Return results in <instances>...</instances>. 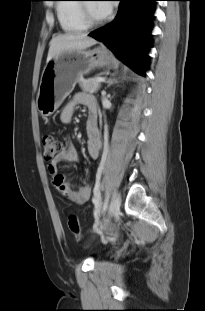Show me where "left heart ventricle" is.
Returning <instances> with one entry per match:
<instances>
[{"label": "left heart ventricle", "mask_w": 205, "mask_h": 311, "mask_svg": "<svg viewBox=\"0 0 205 311\" xmlns=\"http://www.w3.org/2000/svg\"><path fill=\"white\" fill-rule=\"evenodd\" d=\"M91 16L94 20H99L103 18L104 16L100 13L98 9V5L96 3H89Z\"/></svg>", "instance_id": "b2bd125f"}]
</instances>
